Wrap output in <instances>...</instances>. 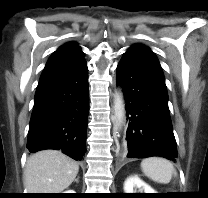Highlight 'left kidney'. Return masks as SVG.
I'll list each match as a JSON object with an SVG mask.
<instances>
[{"label": "left kidney", "instance_id": "obj_1", "mask_svg": "<svg viewBox=\"0 0 208 198\" xmlns=\"http://www.w3.org/2000/svg\"><path fill=\"white\" fill-rule=\"evenodd\" d=\"M138 188L140 193H157L151 186L142 181L138 176H130L124 182V193H133Z\"/></svg>", "mask_w": 208, "mask_h": 198}]
</instances>
